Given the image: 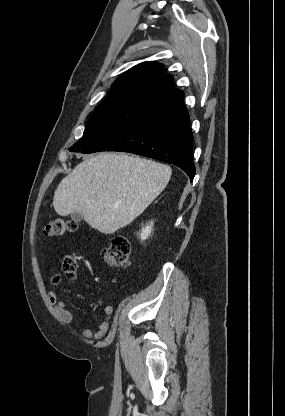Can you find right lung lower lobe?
I'll return each instance as SVG.
<instances>
[{"label": "right lung lower lobe", "mask_w": 285, "mask_h": 416, "mask_svg": "<svg viewBox=\"0 0 285 416\" xmlns=\"http://www.w3.org/2000/svg\"><path fill=\"white\" fill-rule=\"evenodd\" d=\"M190 118L183 103L160 109L92 145L82 153L130 152L174 164L195 176Z\"/></svg>", "instance_id": "98d812e1"}]
</instances>
